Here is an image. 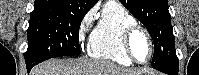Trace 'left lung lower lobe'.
I'll return each mask as SVG.
<instances>
[{"label":"left lung lower lobe","instance_id":"0a47b994","mask_svg":"<svg viewBox=\"0 0 199 75\" xmlns=\"http://www.w3.org/2000/svg\"><path fill=\"white\" fill-rule=\"evenodd\" d=\"M178 66H179V61L177 58L176 61L168 63V65L166 66L158 67L157 70L164 72L168 75H178Z\"/></svg>","mask_w":199,"mask_h":75}]
</instances>
